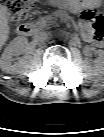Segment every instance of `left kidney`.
<instances>
[{
	"label": "left kidney",
	"mask_w": 104,
	"mask_h": 137,
	"mask_svg": "<svg viewBox=\"0 0 104 137\" xmlns=\"http://www.w3.org/2000/svg\"><path fill=\"white\" fill-rule=\"evenodd\" d=\"M98 55L99 57L96 59V67L99 69V70H102L103 69V63H104V59H103V51L99 50L98 51Z\"/></svg>",
	"instance_id": "5707ae66"
}]
</instances>
